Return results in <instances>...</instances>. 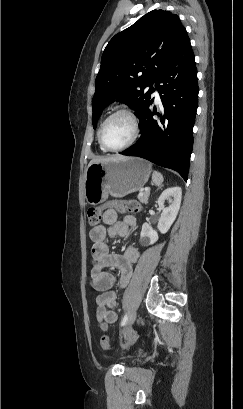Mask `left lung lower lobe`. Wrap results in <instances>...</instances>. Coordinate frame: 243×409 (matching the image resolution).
I'll use <instances>...</instances> for the list:
<instances>
[{
	"label": "left lung lower lobe",
	"instance_id": "left-lung-lower-lobe-1",
	"mask_svg": "<svg viewBox=\"0 0 243 409\" xmlns=\"http://www.w3.org/2000/svg\"><path fill=\"white\" fill-rule=\"evenodd\" d=\"M155 86L162 106L151 111L153 99L145 102L138 116L141 137L121 154L173 169L187 181L199 91L189 39L164 68Z\"/></svg>",
	"mask_w": 243,
	"mask_h": 409
}]
</instances>
